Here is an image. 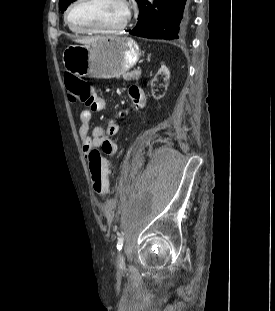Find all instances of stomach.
Returning a JSON list of instances; mask_svg holds the SVG:
<instances>
[{
    "label": "stomach",
    "mask_w": 275,
    "mask_h": 311,
    "mask_svg": "<svg viewBox=\"0 0 275 311\" xmlns=\"http://www.w3.org/2000/svg\"><path fill=\"white\" fill-rule=\"evenodd\" d=\"M141 51L131 38L103 37L85 45H69L62 55L67 72L78 77L110 79L131 69Z\"/></svg>",
    "instance_id": "1"
}]
</instances>
